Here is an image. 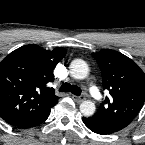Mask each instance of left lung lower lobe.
I'll return each mask as SVG.
<instances>
[{
    "mask_svg": "<svg viewBox=\"0 0 145 145\" xmlns=\"http://www.w3.org/2000/svg\"><path fill=\"white\" fill-rule=\"evenodd\" d=\"M83 123L94 133L101 134V135H109L115 133L113 130L106 128L99 123H97L92 117H83Z\"/></svg>",
    "mask_w": 145,
    "mask_h": 145,
    "instance_id": "left-lung-lower-lobe-1",
    "label": "left lung lower lobe"
}]
</instances>
